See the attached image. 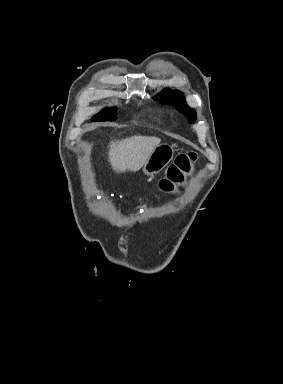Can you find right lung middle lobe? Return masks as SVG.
I'll return each mask as SVG.
<instances>
[{
    "label": "right lung middle lobe",
    "instance_id": "right-lung-middle-lobe-1",
    "mask_svg": "<svg viewBox=\"0 0 283 384\" xmlns=\"http://www.w3.org/2000/svg\"><path fill=\"white\" fill-rule=\"evenodd\" d=\"M116 119V113L114 109H104L100 113L96 114L92 121H113Z\"/></svg>",
    "mask_w": 283,
    "mask_h": 384
}]
</instances>
